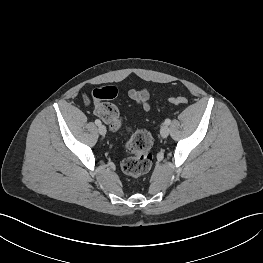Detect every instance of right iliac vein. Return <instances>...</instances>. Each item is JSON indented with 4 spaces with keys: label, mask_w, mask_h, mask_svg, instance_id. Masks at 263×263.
Segmentation results:
<instances>
[{
    "label": "right iliac vein",
    "mask_w": 263,
    "mask_h": 263,
    "mask_svg": "<svg viewBox=\"0 0 263 263\" xmlns=\"http://www.w3.org/2000/svg\"><path fill=\"white\" fill-rule=\"evenodd\" d=\"M98 132L104 136L107 132L106 127L104 125H99Z\"/></svg>",
    "instance_id": "obj_1"
}]
</instances>
